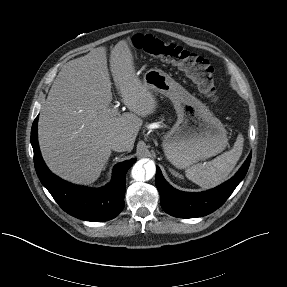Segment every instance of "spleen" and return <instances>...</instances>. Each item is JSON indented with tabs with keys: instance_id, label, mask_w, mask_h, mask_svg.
I'll use <instances>...</instances> for the list:
<instances>
[{
	"instance_id": "spleen-1",
	"label": "spleen",
	"mask_w": 287,
	"mask_h": 287,
	"mask_svg": "<svg viewBox=\"0 0 287 287\" xmlns=\"http://www.w3.org/2000/svg\"><path fill=\"white\" fill-rule=\"evenodd\" d=\"M244 138L239 134L233 148L207 164H196L186 170V177L202 188L209 189L227 180L243 151Z\"/></svg>"
}]
</instances>
